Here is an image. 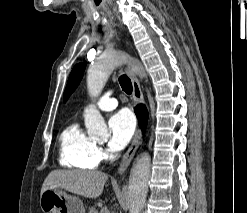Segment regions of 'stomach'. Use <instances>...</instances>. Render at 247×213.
Masks as SVG:
<instances>
[{"instance_id":"stomach-1","label":"stomach","mask_w":247,"mask_h":213,"mask_svg":"<svg viewBox=\"0 0 247 213\" xmlns=\"http://www.w3.org/2000/svg\"><path fill=\"white\" fill-rule=\"evenodd\" d=\"M43 213H85L83 202L62 189L50 188L40 194Z\"/></svg>"}]
</instances>
